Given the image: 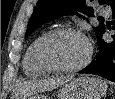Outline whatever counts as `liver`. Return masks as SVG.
<instances>
[{
	"label": "liver",
	"instance_id": "liver-1",
	"mask_svg": "<svg viewBox=\"0 0 115 99\" xmlns=\"http://www.w3.org/2000/svg\"><path fill=\"white\" fill-rule=\"evenodd\" d=\"M72 79H74V75L60 76L58 78H50L47 80H32L24 82L19 85L20 96L25 98L38 92L50 91L66 84Z\"/></svg>",
	"mask_w": 115,
	"mask_h": 99
}]
</instances>
